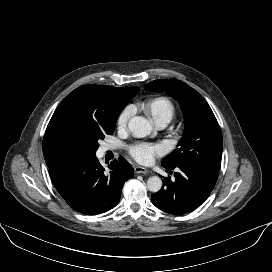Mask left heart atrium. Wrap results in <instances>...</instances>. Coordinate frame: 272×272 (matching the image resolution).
<instances>
[{"instance_id":"39dd6f15","label":"left heart atrium","mask_w":272,"mask_h":272,"mask_svg":"<svg viewBox=\"0 0 272 272\" xmlns=\"http://www.w3.org/2000/svg\"><path fill=\"white\" fill-rule=\"evenodd\" d=\"M130 155L140 163H149L154 156L160 155L162 150L159 146L139 143L129 148Z\"/></svg>"}]
</instances>
